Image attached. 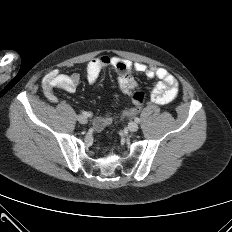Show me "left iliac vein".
Returning a JSON list of instances; mask_svg holds the SVG:
<instances>
[{
    "mask_svg": "<svg viewBox=\"0 0 232 232\" xmlns=\"http://www.w3.org/2000/svg\"><path fill=\"white\" fill-rule=\"evenodd\" d=\"M128 128L132 132H136L138 130V124L136 122H130Z\"/></svg>",
    "mask_w": 232,
    "mask_h": 232,
    "instance_id": "4c4485c4",
    "label": "left iliac vein"
}]
</instances>
